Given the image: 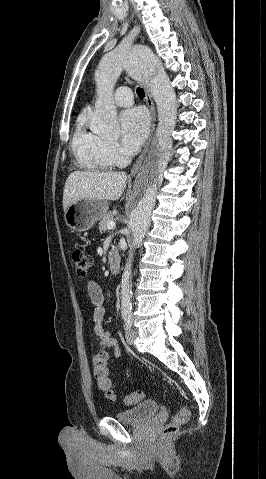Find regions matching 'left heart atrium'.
Instances as JSON below:
<instances>
[{"mask_svg":"<svg viewBox=\"0 0 266 479\" xmlns=\"http://www.w3.org/2000/svg\"><path fill=\"white\" fill-rule=\"evenodd\" d=\"M121 139L125 148L136 152L143 144L149 130L147 113L139 107L125 110L120 116Z\"/></svg>","mask_w":266,"mask_h":479,"instance_id":"obj_1","label":"left heart atrium"}]
</instances>
